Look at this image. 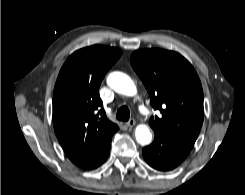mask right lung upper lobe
I'll return each instance as SVG.
<instances>
[{"mask_svg":"<svg viewBox=\"0 0 245 195\" xmlns=\"http://www.w3.org/2000/svg\"><path fill=\"white\" fill-rule=\"evenodd\" d=\"M118 48L93 45L74 52L64 63L53 94L55 134L68 158L93 169L118 126L106 117L99 87L106 72L119 59Z\"/></svg>","mask_w":245,"mask_h":195,"instance_id":"obj_1","label":"right lung upper lobe"}]
</instances>
